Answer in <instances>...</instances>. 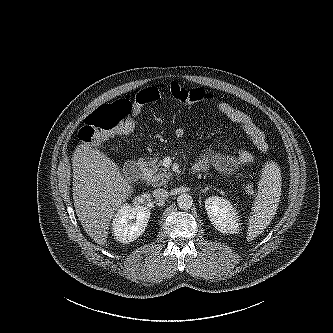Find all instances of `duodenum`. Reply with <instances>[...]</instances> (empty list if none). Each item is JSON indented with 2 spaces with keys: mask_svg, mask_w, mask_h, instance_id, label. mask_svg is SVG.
<instances>
[{
  "mask_svg": "<svg viewBox=\"0 0 333 333\" xmlns=\"http://www.w3.org/2000/svg\"><path fill=\"white\" fill-rule=\"evenodd\" d=\"M144 163L138 160H130L124 166V174L127 178L131 180H140L144 175ZM196 168H194L193 172H198Z\"/></svg>",
  "mask_w": 333,
  "mask_h": 333,
  "instance_id": "1",
  "label": "duodenum"
}]
</instances>
